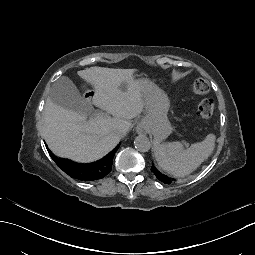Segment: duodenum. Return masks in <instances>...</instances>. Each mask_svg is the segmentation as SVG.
<instances>
[{"instance_id":"obj_1","label":"duodenum","mask_w":255,"mask_h":255,"mask_svg":"<svg viewBox=\"0 0 255 255\" xmlns=\"http://www.w3.org/2000/svg\"><path fill=\"white\" fill-rule=\"evenodd\" d=\"M94 92L91 91V90H88L86 93H85V97L87 99V101H92L94 99Z\"/></svg>"}]
</instances>
